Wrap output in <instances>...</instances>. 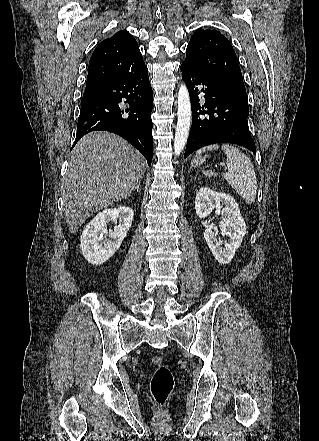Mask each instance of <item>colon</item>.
<instances>
[{
    "label": "colon",
    "mask_w": 319,
    "mask_h": 441,
    "mask_svg": "<svg viewBox=\"0 0 319 441\" xmlns=\"http://www.w3.org/2000/svg\"><path fill=\"white\" fill-rule=\"evenodd\" d=\"M151 362L156 369L151 379L150 392L162 413L174 388V376L161 356H153Z\"/></svg>",
    "instance_id": "colon-1"
}]
</instances>
